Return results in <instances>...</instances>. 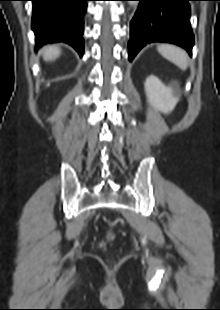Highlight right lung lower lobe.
Segmentation results:
<instances>
[{
	"mask_svg": "<svg viewBox=\"0 0 220 310\" xmlns=\"http://www.w3.org/2000/svg\"><path fill=\"white\" fill-rule=\"evenodd\" d=\"M32 30L35 48L65 42L82 57L84 53V15L89 0H32Z\"/></svg>",
	"mask_w": 220,
	"mask_h": 310,
	"instance_id": "98d812e1",
	"label": "right lung lower lobe"
}]
</instances>
